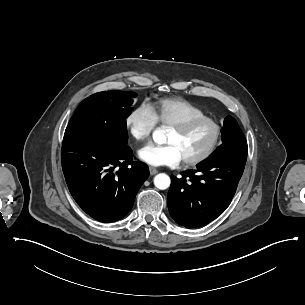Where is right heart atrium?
<instances>
[{"instance_id": "1", "label": "right heart atrium", "mask_w": 305, "mask_h": 305, "mask_svg": "<svg viewBox=\"0 0 305 305\" xmlns=\"http://www.w3.org/2000/svg\"><path fill=\"white\" fill-rule=\"evenodd\" d=\"M157 120L149 105L144 103L136 106L125 118L126 129L135 141L147 140L153 132Z\"/></svg>"}]
</instances>
